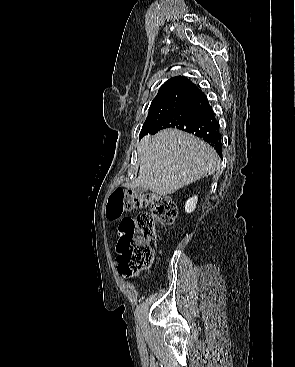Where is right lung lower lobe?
I'll use <instances>...</instances> for the list:
<instances>
[{
    "mask_svg": "<svg viewBox=\"0 0 295 367\" xmlns=\"http://www.w3.org/2000/svg\"><path fill=\"white\" fill-rule=\"evenodd\" d=\"M165 128H177L196 135L209 143L222 158L219 125L205 94L198 89L149 134Z\"/></svg>",
    "mask_w": 295,
    "mask_h": 367,
    "instance_id": "right-lung-lower-lobe-1",
    "label": "right lung lower lobe"
}]
</instances>
